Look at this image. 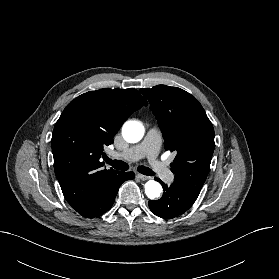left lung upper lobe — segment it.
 I'll use <instances>...</instances> for the list:
<instances>
[{
	"label": "left lung upper lobe",
	"mask_w": 279,
	"mask_h": 279,
	"mask_svg": "<svg viewBox=\"0 0 279 279\" xmlns=\"http://www.w3.org/2000/svg\"><path fill=\"white\" fill-rule=\"evenodd\" d=\"M149 100L164 137L166 150L177 153L171 171L174 183L200 192L214 152V129L198 100L166 85L140 89Z\"/></svg>",
	"instance_id": "1"
}]
</instances>
